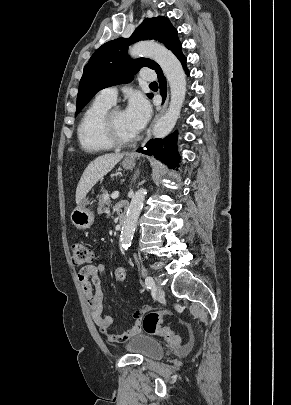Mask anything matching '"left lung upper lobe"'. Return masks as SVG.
I'll use <instances>...</instances> for the list:
<instances>
[{"label": "left lung upper lobe", "mask_w": 291, "mask_h": 405, "mask_svg": "<svg viewBox=\"0 0 291 405\" xmlns=\"http://www.w3.org/2000/svg\"><path fill=\"white\" fill-rule=\"evenodd\" d=\"M148 39L158 40L170 50L179 42L177 30L168 18L158 16L146 18L128 39L118 38L103 44L84 67L79 83L76 115L98 91L130 82L133 75L144 66L154 70L160 67L148 58L132 60L127 54L129 44Z\"/></svg>", "instance_id": "left-lung-upper-lobe-1"}]
</instances>
